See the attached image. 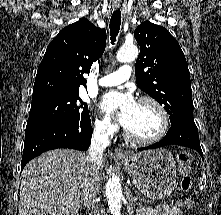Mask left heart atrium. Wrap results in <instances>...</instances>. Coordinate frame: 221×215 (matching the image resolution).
I'll list each match as a JSON object with an SVG mask.
<instances>
[{"mask_svg": "<svg viewBox=\"0 0 221 215\" xmlns=\"http://www.w3.org/2000/svg\"><path fill=\"white\" fill-rule=\"evenodd\" d=\"M137 102L129 94L112 91L104 95L101 109L114 117L121 125L127 127L135 112Z\"/></svg>", "mask_w": 221, "mask_h": 215, "instance_id": "left-heart-atrium-1", "label": "left heart atrium"}]
</instances>
